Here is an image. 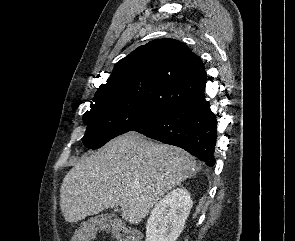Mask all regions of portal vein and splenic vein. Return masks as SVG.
<instances>
[{"mask_svg":"<svg viewBox=\"0 0 295 241\" xmlns=\"http://www.w3.org/2000/svg\"><path fill=\"white\" fill-rule=\"evenodd\" d=\"M137 185H138V184H134V185H132V188H133V189L137 188Z\"/></svg>","mask_w":295,"mask_h":241,"instance_id":"obj_1","label":"portal vein and splenic vein"}]
</instances>
